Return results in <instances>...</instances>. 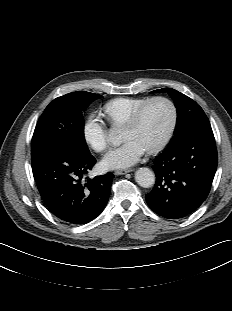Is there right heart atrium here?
Listing matches in <instances>:
<instances>
[{
    "mask_svg": "<svg viewBox=\"0 0 232 311\" xmlns=\"http://www.w3.org/2000/svg\"><path fill=\"white\" fill-rule=\"evenodd\" d=\"M85 142L96 152H104L109 146L108 132L96 114H90L83 124Z\"/></svg>",
    "mask_w": 232,
    "mask_h": 311,
    "instance_id": "obj_1",
    "label": "right heart atrium"
}]
</instances>
